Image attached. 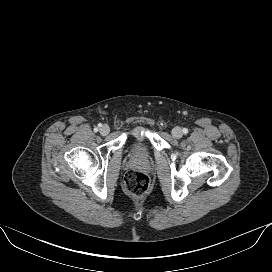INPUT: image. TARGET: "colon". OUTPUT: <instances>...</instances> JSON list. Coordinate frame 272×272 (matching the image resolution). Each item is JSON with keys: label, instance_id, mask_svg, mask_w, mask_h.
Masks as SVG:
<instances>
[{"label": "colon", "instance_id": "colon-1", "mask_svg": "<svg viewBox=\"0 0 272 272\" xmlns=\"http://www.w3.org/2000/svg\"><path fill=\"white\" fill-rule=\"evenodd\" d=\"M124 189L133 197H143L146 195L150 188L149 177L138 171H129L124 177Z\"/></svg>", "mask_w": 272, "mask_h": 272}]
</instances>
